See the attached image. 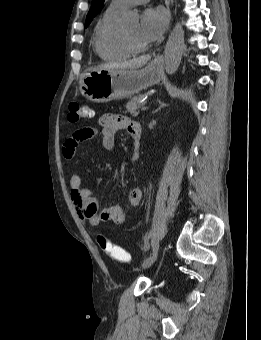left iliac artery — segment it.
Segmentation results:
<instances>
[{
	"label": "left iliac artery",
	"mask_w": 261,
	"mask_h": 340,
	"mask_svg": "<svg viewBox=\"0 0 261 340\" xmlns=\"http://www.w3.org/2000/svg\"><path fill=\"white\" fill-rule=\"evenodd\" d=\"M160 246L159 239L154 237L151 240L150 247H151V253L154 254L158 251Z\"/></svg>",
	"instance_id": "1"
}]
</instances>
